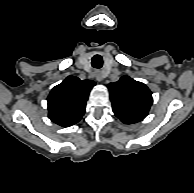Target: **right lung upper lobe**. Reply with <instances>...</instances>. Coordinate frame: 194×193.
Wrapping results in <instances>:
<instances>
[{"mask_svg": "<svg viewBox=\"0 0 194 193\" xmlns=\"http://www.w3.org/2000/svg\"><path fill=\"white\" fill-rule=\"evenodd\" d=\"M94 85L92 80L68 76L55 86L47 98L51 121L62 127L77 123L85 113L86 101Z\"/></svg>", "mask_w": 194, "mask_h": 193, "instance_id": "obj_1", "label": "right lung upper lobe"}]
</instances>
